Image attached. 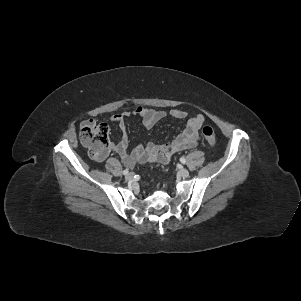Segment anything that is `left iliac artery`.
<instances>
[{"label":"left iliac artery","instance_id":"44dca946","mask_svg":"<svg viewBox=\"0 0 301 301\" xmlns=\"http://www.w3.org/2000/svg\"><path fill=\"white\" fill-rule=\"evenodd\" d=\"M180 162L183 163V164H185L186 163V159L184 157H181L180 158Z\"/></svg>","mask_w":301,"mask_h":301}]
</instances>
